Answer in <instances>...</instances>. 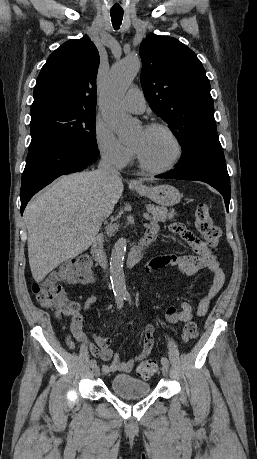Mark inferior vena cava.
Returning a JSON list of instances; mask_svg holds the SVG:
<instances>
[{
    "mask_svg": "<svg viewBox=\"0 0 257 459\" xmlns=\"http://www.w3.org/2000/svg\"><path fill=\"white\" fill-rule=\"evenodd\" d=\"M96 175L99 179L106 178L116 180L120 178V173L118 172V170L112 166L110 159L104 155L102 156L98 164ZM99 261L104 266V263L106 261L105 254H102Z\"/></svg>",
    "mask_w": 257,
    "mask_h": 459,
    "instance_id": "obj_1",
    "label": "inferior vena cava"
}]
</instances>
